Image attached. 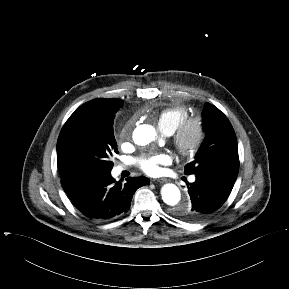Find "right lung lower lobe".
<instances>
[{"instance_id":"1","label":"right lung lower lobe","mask_w":289,"mask_h":289,"mask_svg":"<svg viewBox=\"0 0 289 289\" xmlns=\"http://www.w3.org/2000/svg\"><path fill=\"white\" fill-rule=\"evenodd\" d=\"M126 183L111 175L90 178L77 184L68 193L74 206L86 217L103 221L116 217L130 208L136 189L149 184L146 177H130Z\"/></svg>"}]
</instances>
